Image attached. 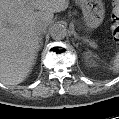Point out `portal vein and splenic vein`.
I'll return each instance as SVG.
<instances>
[{"mask_svg":"<svg viewBox=\"0 0 119 119\" xmlns=\"http://www.w3.org/2000/svg\"><path fill=\"white\" fill-rule=\"evenodd\" d=\"M84 41H86L87 43H89V45L92 46V47H95L96 46V44H95L94 41H89V40H85V39H84Z\"/></svg>","mask_w":119,"mask_h":119,"instance_id":"portal-vein-and-splenic-vein-1","label":"portal vein and splenic vein"}]
</instances>
